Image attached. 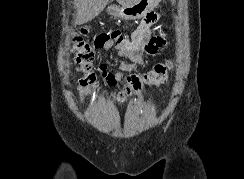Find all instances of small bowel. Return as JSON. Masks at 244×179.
<instances>
[{"instance_id": "c3829d8e", "label": "small bowel", "mask_w": 244, "mask_h": 179, "mask_svg": "<svg viewBox=\"0 0 244 179\" xmlns=\"http://www.w3.org/2000/svg\"><path fill=\"white\" fill-rule=\"evenodd\" d=\"M157 4V3H156ZM131 25L136 28L128 36L122 30H113L98 35L94 46L98 52L115 48L120 59L128 58L131 64L120 61L119 67L123 71H135L147 62L148 57L155 56L166 45L167 38L163 33L156 34L154 26L159 22L160 16L155 13V18H129ZM109 36V38H107ZM106 81L111 84L120 83L123 80L121 72H111L107 70V64L100 65ZM80 102L85 100L84 93L78 91Z\"/></svg>"}]
</instances>
